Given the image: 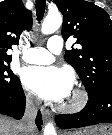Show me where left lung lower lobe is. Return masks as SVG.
Returning a JSON list of instances; mask_svg holds the SVG:
<instances>
[{"label": "left lung lower lobe", "instance_id": "1", "mask_svg": "<svg viewBox=\"0 0 112 135\" xmlns=\"http://www.w3.org/2000/svg\"><path fill=\"white\" fill-rule=\"evenodd\" d=\"M98 123H112V87L103 88L89 96L85 108L75 114H60L56 124L60 128H79Z\"/></svg>", "mask_w": 112, "mask_h": 135}]
</instances>
